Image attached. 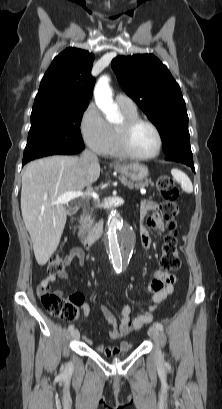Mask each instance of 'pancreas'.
I'll return each instance as SVG.
<instances>
[{
    "instance_id": "obj_1",
    "label": "pancreas",
    "mask_w": 222,
    "mask_h": 409,
    "mask_svg": "<svg viewBox=\"0 0 222 409\" xmlns=\"http://www.w3.org/2000/svg\"><path fill=\"white\" fill-rule=\"evenodd\" d=\"M119 180L129 186L130 188H144L148 185H153L151 180H146L145 182H139L137 184H133L132 182H128L125 177H119ZM79 233L78 236L80 239H88L93 234L94 228V219L92 218V213H90L89 208H85L83 213L80 215L79 219Z\"/></svg>"
}]
</instances>
